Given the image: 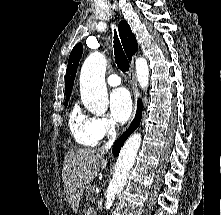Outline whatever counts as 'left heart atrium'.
<instances>
[{"mask_svg":"<svg viewBox=\"0 0 221 215\" xmlns=\"http://www.w3.org/2000/svg\"><path fill=\"white\" fill-rule=\"evenodd\" d=\"M109 104L111 115L118 123H125L132 114L133 102L125 88L115 89L110 94Z\"/></svg>","mask_w":221,"mask_h":215,"instance_id":"left-heart-atrium-1","label":"left heart atrium"}]
</instances>
